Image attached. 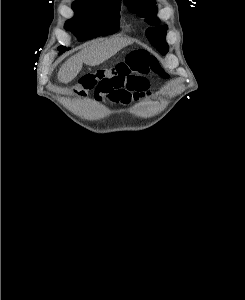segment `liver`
Wrapping results in <instances>:
<instances>
[{"label":"liver","mask_w":245,"mask_h":300,"mask_svg":"<svg viewBox=\"0 0 245 300\" xmlns=\"http://www.w3.org/2000/svg\"><path fill=\"white\" fill-rule=\"evenodd\" d=\"M131 43V40L122 37L92 42L61 66L58 72L59 81L71 82L81 71L83 63L89 66L99 65Z\"/></svg>","instance_id":"6515ba94"}]
</instances>
